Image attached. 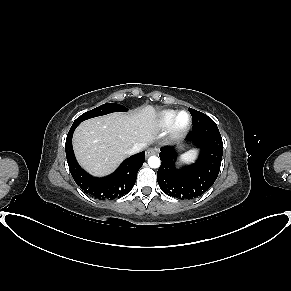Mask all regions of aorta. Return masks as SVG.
<instances>
[{"mask_svg":"<svg viewBox=\"0 0 291 291\" xmlns=\"http://www.w3.org/2000/svg\"><path fill=\"white\" fill-rule=\"evenodd\" d=\"M148 164L151 168H158L160 166V159L157 156H151L148 159Z\"/></svg>","mask_w":291,"mask_h":291,"instance_id":"762f6f07","label":"aorta"}]
</instances>
